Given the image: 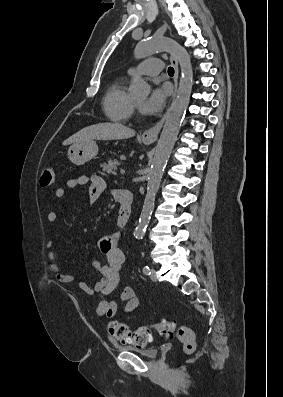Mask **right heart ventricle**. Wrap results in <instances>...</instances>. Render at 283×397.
I'll return each instance as SVG.
<instances>
[{
	"label": "right heart ventricle",
	"mask_w": 283,
	"mask_h": 397,
	"mask_svg": "<svg viewBox=\"0 0 283 397\" xmlns=\"http://www.w3.org/2000/svg\"><path fill=\"white\" fill-rule=\"evenodd\" d=\"M103 109L106 117L113 122L123 123L130 117L132 100L125 89V78H117L108 86Z\"/></svg>",
	"instance_id": "obj_1"
}]
</instances>
